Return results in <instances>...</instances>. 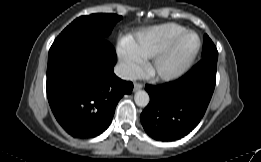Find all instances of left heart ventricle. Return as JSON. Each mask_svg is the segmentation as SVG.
Listing matches in <instances>:
<instances>
[{
  "label": "left heart ventricle",
  "instance_id": "1",
  "mask_svg": "<svg viewBox=\"0 0 261 162\" xmlns=\"http://www.w3.org/2000/svg\"><path fill=\"white\" fill-rule=\"evenodd\" d=\"M197 43V38L193 34L185 36L177 45L172 55L163 63L165 69H171L179 65L190 54Z\"/></svg>",
  "mask_w": 261,
  "mask_h": 162
}]
</instances>
